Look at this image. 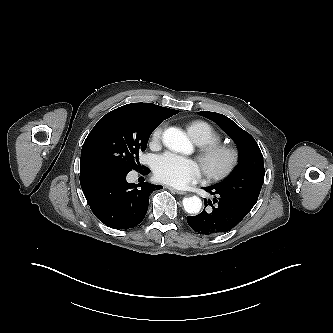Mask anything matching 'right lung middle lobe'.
I'll list each match as a JSON object with an SVG mask.
<instances>
[{
  "label": "right lung middle lobe",
  "instance_id": "right-lung-middle-lobe-1",
  "mask_svg": "<svg viewBox=\"0 0 333 333\" xmlns=\"http://www.w3.org/2000/svg\"><path fill=\"white\" fill-rule=\"evenodd\" d=\"M163 120L128 112L111 111L87 136L80 159V175L112 171L129 173L138 167L153 130Z\"/></svg>",
  "mask_w": 333,
  "mask_h": 333
}]
</instances>
